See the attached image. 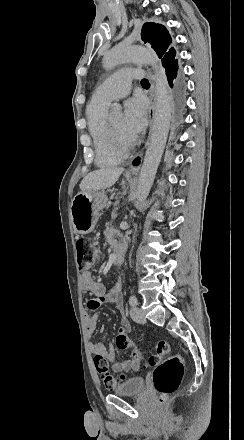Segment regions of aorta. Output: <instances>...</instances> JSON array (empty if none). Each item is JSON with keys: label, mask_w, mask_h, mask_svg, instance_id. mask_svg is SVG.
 Returning <instances> with one entry per match:
<instances>
[{"label": "aorta", "mask_w": 244, "mask_h": 440, "mask_svg": "<svg viewBox=\"0 0 244 440\" xmlns=\"http://www.w3.org/2000/svg\"><path fill=\"white\" fill-rule=\"evenodd\" d=\"M129 61L149 64L155 71L153 128L136 190V199L140 203L149 194L167 141L171 118V93L159 59L150 49L138 46L115 47L104 56L103 66L105 69H112L120 63ZM112 108L120 111L121 107L118 104H113Z\"/></svg>", "instance_id": "1"}]
</instances>
